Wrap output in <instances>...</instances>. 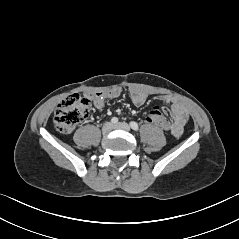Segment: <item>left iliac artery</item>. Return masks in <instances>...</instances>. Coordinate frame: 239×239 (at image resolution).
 I'll use <instances>...</instances> for the list:
<instances>
[{"instance_id": "1", "label": "left iliac artery", "mask_w": 239, "mask_h": 239, "mask_svg": "<svg viewBox=\"0 0 239 239\" xmlns=\"http://www.w3.org/2000/svg\"><path fill=\"white\" fill-rule=\"evenodd\" d=\"M130 127L135 131H138V129H139L138 124L134 121L130 122Z\"/></svg>"}]
</instances>
